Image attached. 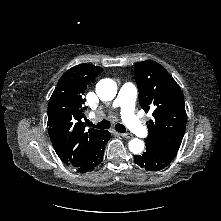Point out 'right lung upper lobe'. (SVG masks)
I'll use <instances>...</instances> for the list:
<instances>
[{"mask_svg": "<svg viewBox=\"0 0 221 221\" xmlns=\"http://www.w3.org/2000/svg\"><path fill=\"white\" fill-rule=\"evenodd\" d=\"M102 68L79 64L66 71L58 81L48 103V131L58 157L67 165L78 166L92 152L103 131L85 130L83 98L87 85Z\"/></svg>", "mask_w": 221, "mask_h": 221, "instance_id": "cb5924a9", "label": "right lung upper lobe"}]
</instances>
